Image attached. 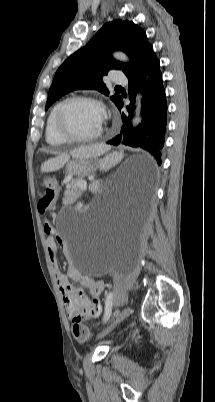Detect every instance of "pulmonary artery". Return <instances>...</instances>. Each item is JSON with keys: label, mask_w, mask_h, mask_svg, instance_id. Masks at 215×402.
Masks as SVG:
<instances>
[{"label": "pulmonary artery", "mask_w": 215, "mask_h": 402, "mask_svg": "<svg viewBox=\"0 0 215 402\" xmlns=\"http://www.w3.org/2000/svg\"><path fill=\"white\" fill-rule=\"evenodd\" d=\"M111 81L115 84H126L127 78L121 72H114L112 74Z\"/></svg>", "instance_id": "pulmonary-artery-1"}]
</instances>
